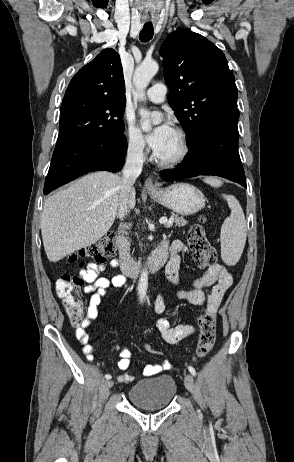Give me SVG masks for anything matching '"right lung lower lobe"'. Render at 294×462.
Segmentation results:
<instances>
[{
	"label": "right lung lower lobe",
	"instance_id": "1",
	"mask_svg": "<svg viewBox=\"0 0 294 462\" xmlns=\"http://www.w3.org/2000/svg\"><path fill=\"white\" fill-rule=\"evenodd\" d=\"M126 152L124 134L78 137L57 143L45 180L44 194L91 171H119Z\"/></svg>",
	"mask_w": 294,
	"mask_h": 462
}]
</instances>
